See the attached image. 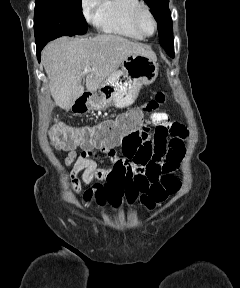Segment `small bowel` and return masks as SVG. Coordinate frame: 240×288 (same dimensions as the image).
Masks as SVG:
<instances>
[{
	"mask_svg": "<svg viewBox=\"0 0 240 288\" xmlns=\"http://www.w3.org/2000/svg\"><path fill=\"white\" fill-rule=\"evenodd\" d=\"M187 136L184 125L172 121L164 112H156L137 135L117 142L82 146L81 154L75 148L68 149L64 165L70 168L72 190L78 194L82 182L90 184L95 179L104 180L103 184H95L84 193L86 201L94 196L100 206L108 203L118 207L125 198L131 204L140 193H146L153 184L159 183L162 175L178 168L185 153ZM117 146L122 148V157L115 150ZM95 149L109 160V168L98 167Z\"/></svg>",
	"mask_w": 240,
	"mask_h": 288,
	"instance_id": "c3829d8e",
	"label": "small bowel"
}]
</instances>
